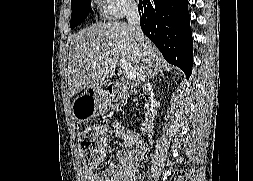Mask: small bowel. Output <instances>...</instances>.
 Listing matches in <instances>:
<instances>
[{"mask_svg": "<svg viewBox=\"0 0 253 181\" xmlns=\"http://www.w3.org/2000/svg\"><path fill=\"white\" fill-rule=\"evenodd\" d=\"M113 131L129 151H120L117 154L119 163H110L103 172H96L91 169L84 171L87 181H136L139 176L138 165L144 151V143L138 135L121 127L113 125Z\"/></svg>", "mask_w": 253, "mask_h": 181, "instance_id": "small-bowel-1", "label": "small bowel"}]
</instances>
